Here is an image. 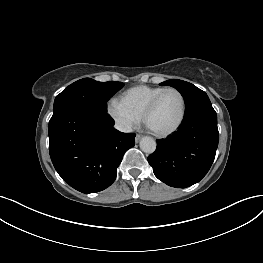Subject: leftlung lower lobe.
I'll list each match as a JSON object with an SVG mask.
<instances>
[{"instance_id": "left-lung-lower-lobe-1", "label": "left lung lower lobe", "mask_w": 263, "mask_h": 263, "mask_svg": "<svg viewBox=\"0 0 263 263\" xmlns=\"http://www.w3.org/2000/svg\"><path fill=\"white\" fill-rule=\"evenodd\" d=\"M217 146V114L212 106H206L185 115L177 132L158 140L148 162L159 180L172 187L185 188L206 175Z\"/></svg>"}]
</instances>
